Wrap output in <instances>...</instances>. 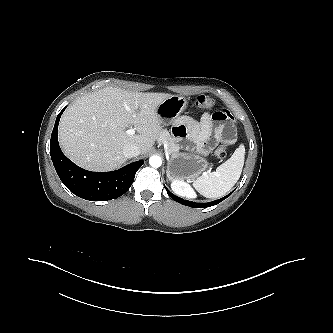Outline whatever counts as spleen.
Here are the masks:
<instances>
[{
    "label": "spleen",
    "instance_id": "3e777b00",
    "mask_svg": "<svg viewBox=\"0 0 333 333\" xmlns=\"http://www.w3.org/2000/svg\"><path fill=\"white\" fill-rule=\"evenodd\" d=\"M244 159L245 147L241 144L227 161L217 167L216 171L203 174L194 180V188L207 198L224 196L239 180Z\"/></svg>",
    "mask_w": 333,
    "mask_h": 333
}]
</instances>
